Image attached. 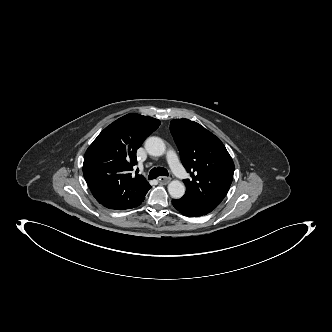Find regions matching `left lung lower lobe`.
<instances>
[{"instance_id":"obj_1","label":"left lung lower lobe","mask_w":332,"mask_h":332,"mask_svg":"<svg viewBox=\"0 0 332 332\" xmlns=\"http://www.w3.org/2000/svg\"><path fill=\"white\" fill-rule=\"evenodd\" d=\"M172 204L181 214L188 217L203 216L213 210L187 196H183L180 199H172Z\"/></svg>"}]
</instances>
